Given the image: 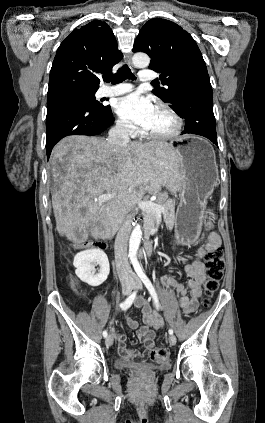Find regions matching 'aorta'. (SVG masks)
I'll list each match as a JSON object with an SVG mask.
<instances>
[{"label": "aorta", "instance_id": "aorta-1", "mask_svg": "<svg viewBox=\"0 0 265 423\" xmlns=\"http://www.w3.org/2000/svg\"><path fill=\"white\" fill-rule=\"evenodd\" d=\"M133 64L136 67L144 68L147 67L150 63V58L145 53H136L132 58ZM142 238V228L140 225H137L132 230L130 240H129V253L128 256L130 258V261L133 264H136L138 262L137 259V253L140 246Z\"/></svg>", "mask_w": 265, "mask_h": 423}]
</instances>
